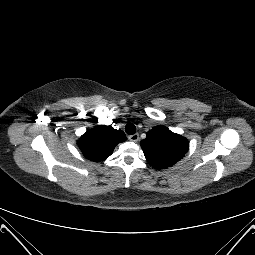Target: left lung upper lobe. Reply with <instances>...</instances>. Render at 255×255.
Returning a JSON list of instances; mask_svg holds the SVG:
<instances>
[{
  "instance_id": "1",
  "label": "left lung upper lobe",
  "mask_w": 255,
  "mask_h": 255,
  "mask_svg": "<svg viewBox=\"0 0 255 255\" xmlns=\"http://www.w3.org/2000/svg\"><path fill=\"white\" fill-rule=\"evenodd\" d=\"M148 163L160 170L174 165L188 151V140L165 126H156L141 141Z\"/></svg>"
}]
</instances>
